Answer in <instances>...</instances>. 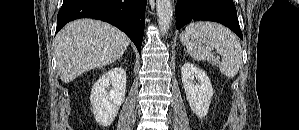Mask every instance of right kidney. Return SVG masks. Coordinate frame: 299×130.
<instances>
[{
    "mask_svg": "<svg viewBox=\"0 0 299 130\" xmlns=\"http://www.w3.org/2000/svg\"><path fill=\"white\" fill-rule=\"evenodd\" d=\"M126 95V71L115 67L105 72L94 83L90 95L95 120L102 126H109L118 114Z\"/></svg>",
    "mask_w": 299,
    "mask_h": 130,
    "instance_id": "obj_1",
    "label": "right kidney"
}]
</instances>
